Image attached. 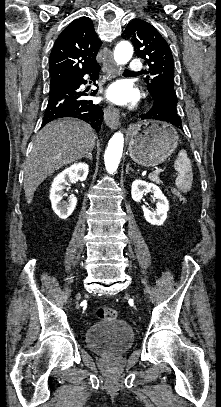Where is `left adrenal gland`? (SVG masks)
Returning <instances> with one entry per match:
<instances>
[{
	"label": "left adrenal gland",
	"mask_w": 221,
	"mask_h": 407,
	"mask_svg": "<svg viewBox=\"0 0 221 407\" xmlns=\"http://www.w3.org/2000/svg\"><path fill=\"white\" fill-rule=\"evenodd\" d=\"M129 171H133V169L130 167L129 164H127V166H126V174H128Z\"/></svg>",
	"instance_id": "obj_1"
}]
</instances>
